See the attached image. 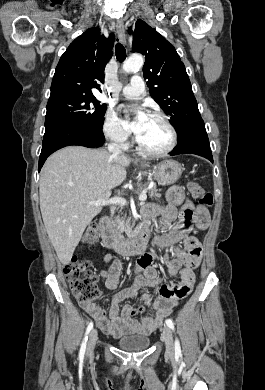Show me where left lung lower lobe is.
I'll list each match as a JSON object with an SVG mask.
<instances>
[{
    "label": "left lung lower lobe",
    "instance_id": "0a47b994",
    "mask_svg": "<svg viewBox=\"0 0 265 390\" xmlns=\"http://www.w3.org/2000/svg\"><path fill=\"white\" fill-rule=\"evenodd\" d=\"M170 155L196 154L213 162L209 139L203 120L198 122L188 137L177 143Z\"/></svg>",
    "mask_w": 265,
    "mask_h": 390
}]
</instances>
